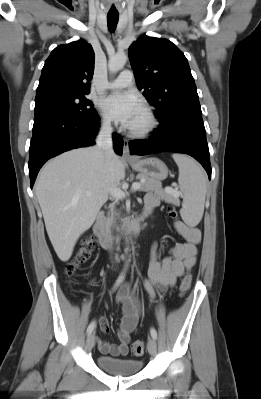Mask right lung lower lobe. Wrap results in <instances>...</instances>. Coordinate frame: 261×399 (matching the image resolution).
Returning a JSON list of instances; mask_svg holds the SVG:
<instances>
[{
    "label": "right lung lower lobe",
    "mask_w": 261,
    "mask_h": 399,
    "mask_svg": "<svg viewBox=\"0 0 261 399\" xmlns=\"http://www.w3.org/2000/svg\"><path fill=\"white\" fill-rule=\"evenodd\" d=\"M98 128V114L91 120L59 112L34 117L28 163L31 188L47 160L74 148L93 145ZM113 145L115 152L122 155L123 139L117 134H113Z\"/></svg>",
    "instance_id": "right-lung-lower-lobe-1"
}]
</instances>
